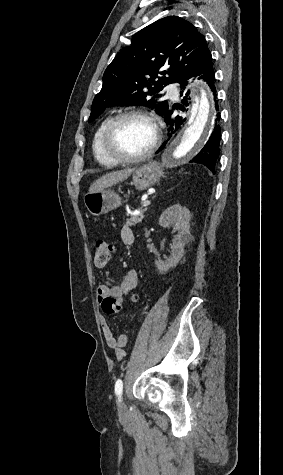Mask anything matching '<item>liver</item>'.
I'll use <instances>...</instances> for the list:
<instances>
[{
  "mask_svg": "<svg viewBox=\"0 0 283 475\" xmlns=\"http://www.w3.org/2000/svg\"><path fill=\"white\" fill-rule=\"evenodd\" d=\"M134 170L135 168H128V170L110 172V174L102 176V178L96 180L94 184H91L88 194H97V192H101V190H105V188H110V186H115V184H119V182H124V180H127L128 176H131Z\"/></svg>",
  "mask_w": 283,
  "mask_h": 475,
  "instance_id": "1",
  "label": "liver"
}]
</instances>
